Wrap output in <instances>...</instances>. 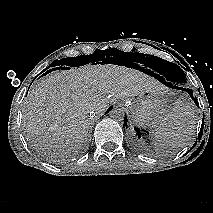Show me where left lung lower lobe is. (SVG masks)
Here are the masks:
<instances>
[{
    "mask_svg": "<svg viewBox=\"0 0 213 213\" xmlns=\"http://www.w3.org/2000/svg\"><path fill=\"white\" fill-rule=\"evenodd\" d=\"M156 71L158 72V74L151 72L155 78H157L159 81H161L163 84L167 85L168 87L187 91L188 94L191 96V98L194 100L195 104L197 105L198 102L193 97V92L190 89H185V88L177 86V84H175L173 81H171L169 76H167L166 74H164L161 71H158V70H156ZM124 125L127 126V117H126V115H125V119H124Z\"/></svg>",
    "mask_w": 213,
    "mask_h": 213,
    "instance_id": "0a47b994",
    "label": "left lung lower lobe"
}]
</instances>
